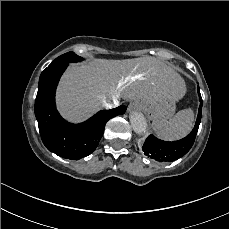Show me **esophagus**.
<instances>
[{
	"label": "esophagus",
	"instance_id": "1",
	"mask_svg": "<svg viewBox=\"0 0 229 229\" xmlns=\"http://www.w3.org/2000/svg\"><path fill=\"white\" fill-rule=\"evenodd\" d=\"M135 109L134 104L131 103L128 107L129 112H132Z\"/></svg>",
	"mask_w": 229,
	"mask_h": 229
}]
</instances>
